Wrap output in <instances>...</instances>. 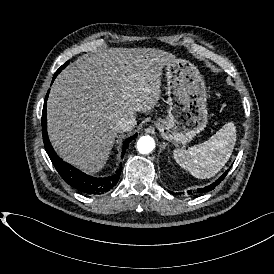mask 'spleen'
I'll return each mask as SVG.
<instances>
[{
	"mask_svg": "<svg viewBox=\"0 0 274 274\" xmlns=\"http://www.w3.org/2000/svg\"><path fill=\"white\" fill-rule=\"evenodd\" d=\"M236 142V127L226 123L209 140L187 150L175 149L176 162L194 177L205 179L215 176L229 160Z\"/></svg>",
	"mask_w": 274,
	"mask_h": 274,
	"instance_id": "1",
	"label": "spleen"
}]
</instances>
